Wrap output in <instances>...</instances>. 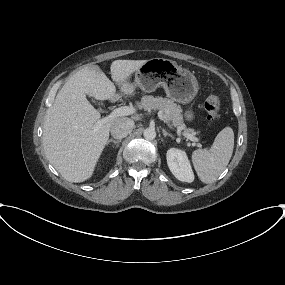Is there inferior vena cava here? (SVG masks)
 Listing matches in <instances>:
<instances>
[{
    "mask_svg": "<svg viewBox=\"0 0 285 285\" xmlns=\"http://www.w3.org/2000/svg\"><path fill=\"white\" fill-rule=\"evenodd\" d=\"M134 127V122L129 118H118L111 126V135L115 139L125 138L131 133Z\"/></svg>",
    "mask_w": 285,
    "mask_h": 285,
    "instance_id": "602c4592",
    "label": "inferior vena cava"
}]
</instances>
